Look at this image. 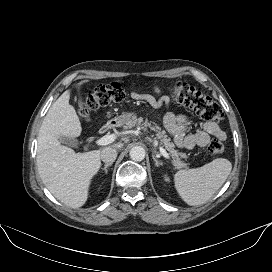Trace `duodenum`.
<instances>
[{
	"label": "duodenum",
	"mask_w": 272,
	"mask_h": 272,
	"mask_svg": "<svg viewBox=\"0 0 272 272\" xmlns=\"http://www.w3.org/2000/svg\"><path fill=\"white\" fill-rule=\"evenodd\" d=\"M112 126H113V124L112 123H106L105 125H103L102 127H101V132H106V131H108L109 129H111L112 128Z\"/></svg>",
	"instance_id": "duodenum-1"
}]
</instances>
